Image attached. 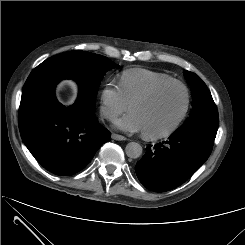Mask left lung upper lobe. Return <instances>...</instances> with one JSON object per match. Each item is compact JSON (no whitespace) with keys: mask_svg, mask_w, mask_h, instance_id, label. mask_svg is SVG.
<instances>
[{"mask_svg":"<svg viewBox=\"0 0 245 245\" xmlns=\"http://www.w3.org/2000/svg\"><path fill=\"white\" fill-rule=\"evenodd\" d=\"M184 75L191 86L193 108L185 123L174 133L199 132L215 138L219 118L211 93L198 75L187 70Z\"/></svg>","mask_w":245,"mask_h":245,"instance_id":"left-lung-upper-lobe-1","label":"left lung upper lobe"}]
</instances>
